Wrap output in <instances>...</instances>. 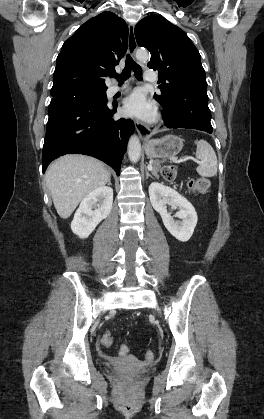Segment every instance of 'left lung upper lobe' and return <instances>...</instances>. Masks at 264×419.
<instances>
[{
    "label": "left lung upper lobe",
    "mask_w": 264,
    "mask_h": 419,
    "mask_svg": "<svg viewBox=\"0 0 264 419\" xmlns=\"http://www.w3.org/2000/svg\"><path fill=\"white\" fill-rule=\"evenodd\" d=\"M139 46L151 53L149 68L158 71L161 95L180 99L195 88L206 89L199 51L187 34L159 15H149L135 27Z\"/></svg>",
    "instance_id": "5c2ea615"
}]
</instances>
